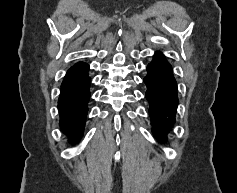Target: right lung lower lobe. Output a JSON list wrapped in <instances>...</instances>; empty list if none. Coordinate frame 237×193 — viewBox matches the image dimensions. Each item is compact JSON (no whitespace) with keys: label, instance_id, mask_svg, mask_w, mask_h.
Instances as JSON below:
<instances>
[{"label":"right lung lower lobe","instance_id":"right-lung-lower-lobe-1","mask_svg":"<svg viewBox=\"0 0 237 193\" xmlns=\"http://www.w3.org/2000/svg\"><path fill=\"white\" fill-rule=\"evenodd\" d=\"M89 65L78 62L71 67L61 84L58 100L60 126L72 142H78L82 136L90 98Z\"/></svg>","mask_w":237,"mask_h":193}]
</instances>
